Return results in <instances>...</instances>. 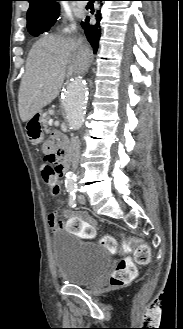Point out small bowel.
Segmentation results:
<instances>
[{
  "label": "small bowel",
  "mask_w": 183,
  "mask_h": 329,
  "mask_svg": "<svg viewBox=\"0 0 183 329\" xmlns=\"http://www.w3.org/2000/svg\"><path fill=\"white\" fill-rule=\"evenodd\" d=\"M56 143L54 140H48L43 145L45 154L55 153ZM63 213L68 216L80 218L82 220H68L69 236H82L83 242H94L95 236L98 235L99 226L96 225V220L85 212H69L64 210ZM48 226L50 234L55 235L57 232L65 228V222L59 218L57 212H52L48 216Z\"/></svg>",
  "instance_id": "obj_1"
}]
</instances>
